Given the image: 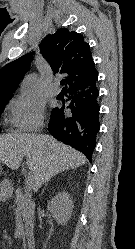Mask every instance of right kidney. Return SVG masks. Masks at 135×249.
Returning <instances> with one entry per match:
<instances>
[{"label":"right kidney","mask_w":135,"mask_h":249,"mask_svg":"<svg viewBox=\"0 0 135 249\" xmlns=\"http://www.w3.org/2000/svg\"><path fill=\"white\" fill-rule=\"evenodd\" d=\"M47 208L58 224L65 225L71 217L73 201L67 192H60L52 198Z\"/></svg>","instance_id":"right-kidney-1"}]
</instances>
